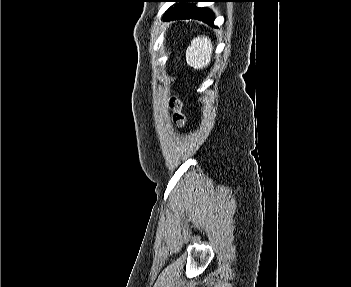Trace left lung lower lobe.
<instances>
[{
    "instance_id": "0a47b994",
    "label": "left lung lower lobe",
    "mask_w": 351,
    "mask_h": 287,
    "mask_svg": "<svg viewBox=\"0 0 351 287\" xmlns=\"http://www.w3.org/2000/svg\"><path fill=\"white\" fill-rule=\"evenodd\" d=\"M177 3H196L203 0H173ZM178 19H198L211 26H213L214 14L206 8H197L194 5L186 4L184 6H176L168 11L165 20H178Z\"/></svg>"
}]
</instances>
